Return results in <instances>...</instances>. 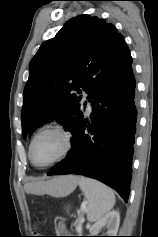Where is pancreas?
Returning a JSON list of instances; mask_svg holds the SVG:
<instances>
[{
  "instance_id": "cf45deb5",
  "label": "pancreas",
  "mask_w": 158,
  "mask_h": 237,
  "mask_svg": "<svg viewBox=\"0 0 158 237\" xmlns=\"http://www.w3.org/2000/svg\"><path fill=\"white\" fill-rule=\"evenodd\" d=\"M76 231H77L78 233H81V228H77V227H76Z\"/></svg>"
}]
</instances>
